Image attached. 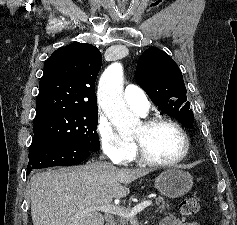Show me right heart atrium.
<instances>
[{"label":"right heart atrium","mask_w":237,"mask_h":225,"mask_svg":"<svg viewBox=\"0 0 237 225\" xmlns=\"http://www.w3.org/2000/svg\"><path fill=\"white\" fill-rule=\"evenodd\" d=\"M96 134L103 153L115 164H125L134 155V146L127 138L122 137L105 117H99Z\"/></svg>","instance_id":"right-heart-atrium-1"}]
</instances>
